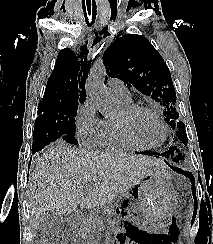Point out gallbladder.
Listing matches in <instances>:
<instances>
[{"label": "gallbladder", "mask_w": 213, "mask_h": 244, "mask_svg": "<svg viewBox=\"0 0 213 244\" xmlns=\"http://www.w3.org/2000/svg\"><path fill=\"white\" fill-rule=\"evenodd\" d=\"M65 217L58 215L55 212H47L41 217V222L38 228L40 235H57L64 228Z\"/></svg>", "instance_id": "1"}]
</instances>
